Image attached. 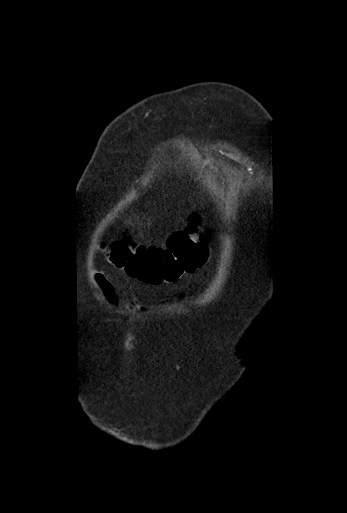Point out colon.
Wrapping results in <instances>:
<instances>
[{
	"label": "colon",
	"mask_w": 347,
	"mask_h": 513,
	"mask_svg": "<svg viewBox=\"0 0 347 513\" xmlns=\"http://www.w3.org/2000/svg\"><path fill=\"white\" fill-rule=\"evenodd\" d=\"M208 236L200 219L193 216L188 227L173 233L166 247L135 245L128 237H119L108 248L113 265L145 284L162 285L180 281L199 269L207 260Z\"/></svg>",
	"instance_id": "obj_1"
}]
</instances>
